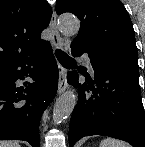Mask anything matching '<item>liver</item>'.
I'll list each match as a JSON object with an SVG mask.
<instances>
[{"label":"liver","instance_id":"6515ba94","mask_svg":"<svg viewBox=\"0 0 145 147\" xmlns=\"http://www.w3.org/2000/svg\"><path fill=\"white\" fill-rule=\"evenodd\" d=\"M0 147H20V145L12 141H0Z\"/></svg>","mask_w":145,"mask_h":147}]
</instances>
